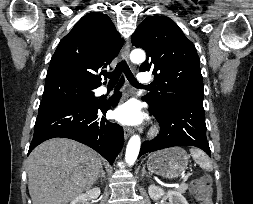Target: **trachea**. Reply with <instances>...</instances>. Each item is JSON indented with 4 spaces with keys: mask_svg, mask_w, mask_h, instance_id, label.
<instances>
[{
    "mask_svg": "<svg viewBox=\"0 0 253 204\" xmlns=\"http://www.w3.org/2000/svg\"><path fill=\"white\" fill-rule=\"evenodd\" d=\"M124 72L126 75L128 81L130 84L134 87H142L141 84L136 80L134 75L132 74L129 66L125 61H121L120 63L117 64L115 70L113 72L107 73L106 77L109 78V86H115L119 80V77L121 73Z\"/></svg>",
    "mask_w": 253,
    "mask_h": 204,
    "instance_id": "3493384b",
    "label": "trachea"
}]
</instances>
